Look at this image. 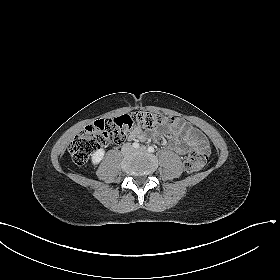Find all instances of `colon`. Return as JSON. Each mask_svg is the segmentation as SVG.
Here are the masks:
<instances>
[{
  "instance_id": "colon-1",
  "label": "colon",
  "mask_w": 280,
  "mask_h": 280,
  "mask_svg": "<svg viewBox=\"0 0 280 280\" xmlns=\"http://www.w3.org/2000/svg\"><path fill=\"white\" fill-rule=\"evenodd\" d=\"M175 118L160 113L136 111L130 115L97 120L89 125L70 144L69 151L76 164H84L98 149L108 144L122 143L132 126L154 129L164 123H174ZM206 146H195L188 154L184 169L188 173L200 170L208 159Z\"/></svg>"
}]
</instances>
